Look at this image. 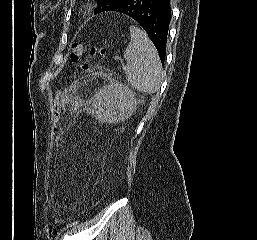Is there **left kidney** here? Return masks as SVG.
<instances>
[{
  "mask_svg": "<svg viewBox=\"0 0 257 240\" xmlns=\"http://www.w3.org/2000/svg\"><path fill=\"white\" fill-rule=\"evenodd\" d=\"M94 116L96 119L118 123L127 119L135 110L133 92L122 84L104 86L95 96Z\"/></svg>",
  "mask_w": 257,
  "mask_h": 240,
  "instance_id": "left-kidney-1",
  "label": "left kidney"
}]
</instances>
